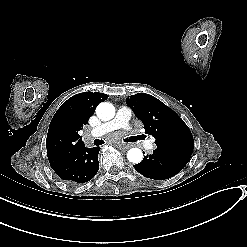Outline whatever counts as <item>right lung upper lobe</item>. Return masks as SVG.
<instances>
[{
    "mask_svg": "<svg viewBox=\"0 0 247 247\" xmlns=\"http://www.w3.org/2000/svg\"><path fill=\"white\" fill-rule=\"evenodd\" d=\"M107 98V94L84 92L72 96L61 105L51 120L46 140L51 166L84 146L78 132L88 123L96 106Z\"/></svg>",
    "mask_w": 247,
    "mask_h": 247,
    "instance_id": "1",
    "label": "right lung upper lobe"
}]
</instances>
